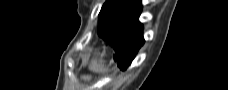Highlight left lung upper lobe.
<instances>
[{
    "label": "left lung upper lobe",
    "instance_id": "obj_1",
    "mask_svg": "<svg viewBox=\"0 0 228 90\" xmlns=\"http://www.w3.org/2000/svg\"><path fill=\"white\" fill-rule=\"evenodd\" d=\"M139 4L134 0H106L101 8L98 18V35L106 32L117 23V17L124 11H135Z\"/></svg>",
    "mask_w": 228,
    "mask_h": 90
}]
</instances>
